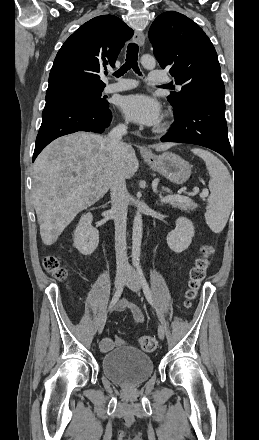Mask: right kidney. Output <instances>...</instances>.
Returning <instances> with one entry per match:
<instances>
[{"mask_svg":"<svg viewBox=\"0 0 259 440\" xmlns=\"http://www.w3.org/2000/svg\"><path fill=\"white\" fill-rule=\"evenodd\" d=\"M92 214L82 215L74 231V246L82 255H91L99 243V232L92 227Z\"/></svg>","mask_w":259,"mask_h":440,"instance_id":"right-kidney-1","label":"right kidney"}]
</instances>
